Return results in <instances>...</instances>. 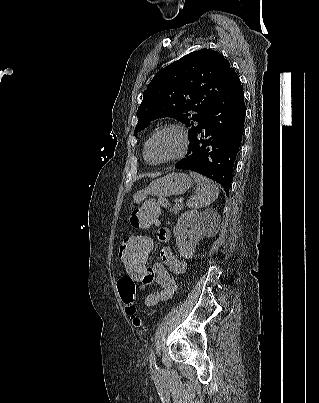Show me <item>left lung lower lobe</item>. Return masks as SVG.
Masks as SVG:
<instances>
[{
	"label": "left lung lower lobe",
	"instance_id": "obj_1",
	"mask_svg": "<svg viewBox=\"0 0 319 403\" xmlns=\"http://www.w3.org/2000/svg\"><path fill=\"white\" fill-rule=\"evenodd\" d=\"M244 93L233 68L216 94L204 119L190 139L189 150L175 167L203 174L231 187L234 162L241 145L245 121Z\"/></svg>",
	"mask_w": 319,
	"mask_h": 403
}]
</instances>
